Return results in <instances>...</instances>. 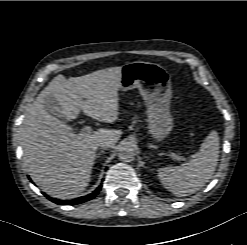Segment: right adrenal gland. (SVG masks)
<instances>
[{"instance_id": "right-adrenal-gland-1", "label": "right adrenal gland", "mask_w": 247, "mask_h": 245, "mask_svg": "<svg viewBox=\"0 0 247 245\" xmlns=\"http://www.w3.org/2000/svg\"><path fill=\"white\" fill-rule=\"evenodd\" d=\"M102 153H103V151H101L100 153H98L96 158H98Z\"/></svg>"}]
</instances>
